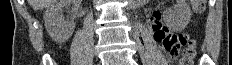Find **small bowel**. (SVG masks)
<instances>
[{
  "mask_svg": "<svg viewBox=\"0 0 232 65\" xmlns=\"http://www.w3.org/2000/svg\"><path fill=\"white\" fill-rule=\"evenodd\" d=\"M149 24L153 31L155 41L161 45L163 37L166 36L169 33V31L162 25L159 12H154L150 16Z\"/></svg>",
  "mask_w": 232,
  "mask_h": 65,
  "instance_id": "1",
  "label": "small bowel"
}]
</instances>
